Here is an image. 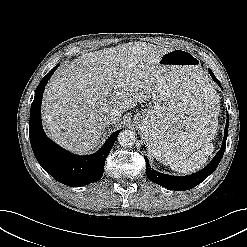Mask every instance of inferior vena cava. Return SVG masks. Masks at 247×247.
Here are the masks:
<instances>
[{
	"mask_svg": "<svg viewBox=\"0 0 247 247\" xmlns=\"http://www.w3.org/2000/svg\"><path fill=\"white\" fill-rule=\"evenodd\" d=\"M119 120H120L119 114L115 112L110 113L107 117L108 123H115Z\"/></svg>",
	"mask_w": 247,
	"mask_h": 247,
	"instance_id": "1",
	"label": "inferior vena cava"
}]
</instances>
